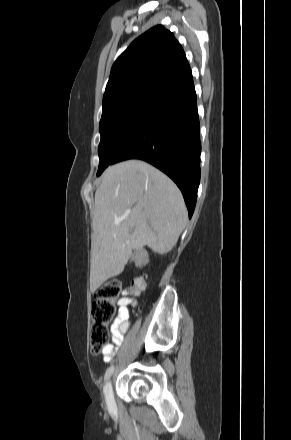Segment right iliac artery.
<instances>
[{
	"label": "right iliac artery",
	"mask_w": 291,
	"mask_h": 440,
	"mask_svg": "<svg viewBox=\"0 0 291 440\" xmlns=\"http://www.w3.org/2000/svg\"><path fill=\"white\" fill-rule=\"evenodd\" d=\"M113 371H114V366L113 365L108 367L107 370H106L105 376H104V380H107L111 376Z\"/></svg>",
	"instance_id": "82829eb1"
}]
</instances>
